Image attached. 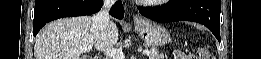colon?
I'll use <instances>...</instances> for the list:
<instances>
[{"label":"colon","instance_id":"1","mask_svg":"<svg viewBox=\"0 0 261 59\" xmlns=\"http://www.w3.org/2000/svg\"><path fill=\"white\" fill-rule=\"evenodd\" d=\"M175 58L176 59H189V57H187V56H185L183 53H181V52H177L176 54H175ZM203 58H206V56H204Z\"/></svg>","mask_w":261,"mask_h":59}]
</instances>
